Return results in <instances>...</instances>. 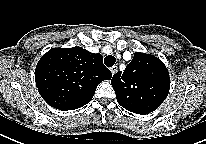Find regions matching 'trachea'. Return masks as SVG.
Returning <instances> with one entry per match:
<instances>
[{"mask_svg": "<svg viewBox=\"0 0 206 144\" xmlns=\"http://www.w3.org/2000/svg\"><path fill=\"white\" fill-rule=\"evenodd\" d=\"M115 62H116L115 57L111 55L105 57L104 59V63L107 67H112L115 64Z\"/></svg>", "mask_w": 206, "mask_h": 144, "instance_id": "1", "label": "trachea"}]
</instances>
